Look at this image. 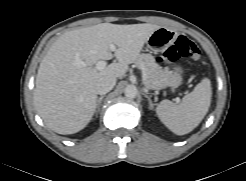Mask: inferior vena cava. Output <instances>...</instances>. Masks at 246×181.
<instances>
[{"label": "inferior vena cava", "instance_id": "1", "mask_svg": "<svg viewBox=\"0 0 246 181\" xmlns=\"http://www.w3.org/2000/svg\"><path fill=\"white\" fill-rule=\"evenodd\" d=\"M116 84V78L112 76H107L101 78L96 84L97 94L104 95L110 92Z\"/></svg>", "mask_w": 246, "mask_h": 181}]
</instances>
